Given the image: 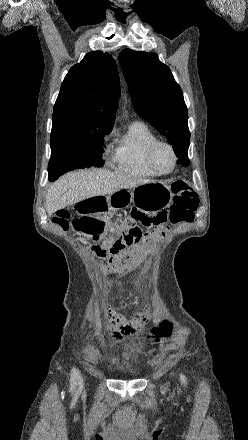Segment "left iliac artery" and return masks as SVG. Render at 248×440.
Instances as JSON below:
<instances>
[{
    "label": "left iliac artery",
    "instance_id": "left-iliac-artery-1",
    "mask_svg": "<svg viewBox=\"0 0 248 440\" xmlns=\"http://www.w3.org/2000/svg\"><path fill=\"white\" fill-rule=\"evenodd\" d=\"M181 382L183 383V385L187 384V378L184 375H181Z\"/></svg>",
    "mask_w": 248,
    "mask_h": 440
}]
</instances>
